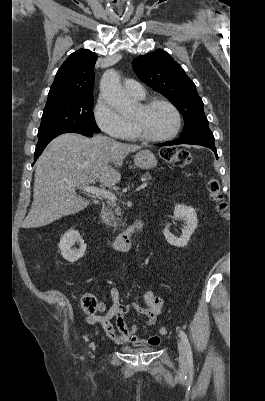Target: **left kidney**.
I'll return each mask as SVG.
<instances>
[{"instance_id": "left-kidney-1", "label": "left kidney", "mask_w": 265, "mask_h": 401, "mask_svg": "<svg viewBox=\"0 0 265 401\" xmlns=\"http://www.w3.org/2000/svg\"><path fill=\"white\" fill-rule=\"evenodd\" d=\"M174 217H176L177 221L179 219L185 221L182 233L180 237H175L168 229H164V237L174 247H185L190 239V235L194 233L198 225L196 211L192 207H186V205H176Z\"/></svg>"}]
</instances>
